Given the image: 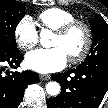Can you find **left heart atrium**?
<instances>
[{"label": "left heart atrium", "instance_id": "obj_1", "mask_svg": "<svg viewBox=\"0 0 108 108\" xmlns=\"http://www.w3.org/2000/svg\"><path fill=\"white\" fill-rule=\"evenodd\" d=\"M68 61L64 50L60 47L50 49H37L26 55V65L28 68L42 73H52L62 70Z\"/></svg>", "mask_w": 108, "mask_h": 108}]
</instances>
